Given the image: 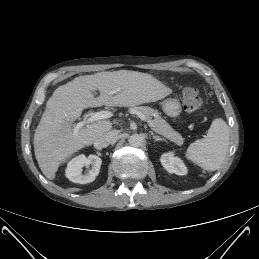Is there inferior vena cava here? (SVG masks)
<instances>
[{"instance_id": "inferior-vena-cava-1", "label": "inferior vena cava", "mask_w": 259, "mask_h": 259, "mask_svg": "<svg viewBox=\"0 0 259 259\" xmlns=\"http://www.w3.org/2000/svg\"><path fill=\"white\" fill-rule=\"evenodd\" d=\"M116 135H117L116 131L106 132L94 142V146L96 148H105L114 140Z\"/></svg>"}]
</instances>
